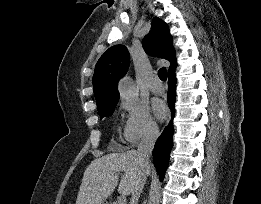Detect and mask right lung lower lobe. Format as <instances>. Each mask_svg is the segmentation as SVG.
Here are the masks:
<instances>
[{
  "label": "right lung lower lobe",
  "instance_id": "right-lung-lower-lobe-1",
  "mask_svg": "<svg viewBox=\"0 0 261 204\" xmlns=\"http://www.w3.org/2000/svg\"><path fill=\"white\" fill-rule=\"evenodd\" d=\"M174 69L168 72V106L172 113V119L169 122V125L164 129L161 136L158 138L153 150L154 166L159 174L160 180H163L165 176V172L170 158V152L173 147V118L175 116L174 104L176 96V77Z\"/></svg>",
  "mask_w": 261,
  "mask_h": 204
}]
</instances>
